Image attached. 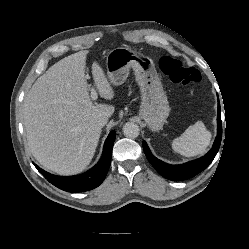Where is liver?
Here are the masks:
<instances>
[{
	"label": "liver",
	"instance_id": "obj_1",
	"mask_svg": "<svg viewBox=\"0 0 249 249\" xmlns=\"http://www.w3.org/2000/svg\"><path fill=\"white\" fill-rule=\"evenodd\" d=\"M87 53L79 51L55 63L24 98L29 150L45 169L59 175L79 174L90 164L101 135L96 121L111 117L115 110L112 105L94 104L90 98ZM92 74L100 96L111 100L113 89L96 61Z\"/></svg>",
	"mask_w": 249,
	"mask_h": 249
}]
</instances>
